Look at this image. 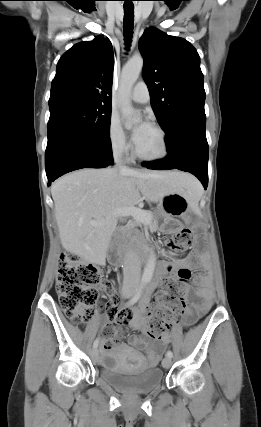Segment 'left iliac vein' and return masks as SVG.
<instances>
[{"label": "left iliac vein", "instance_id": "left-iliac-vein-1", "mask_svg": "<svg viewBox=\"0 0 261 427\" xmlns=\"http://www.w3.org/2000/svg\"><path fill=\"white\" fill-rule=\"evenodd\" d=\"M172 365V360L171 358H169L168 356H166L163 360H162V366L164 368H170V366Z\"/></svg>", "mask_w": 261, "mask_h": 427}]
</instances>
